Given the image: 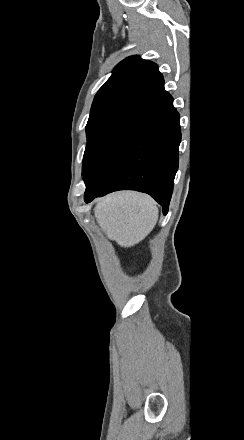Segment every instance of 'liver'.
Wrapping results in <instances>:
<instances>
[{
    "instance_id": "obj_1",
    "label": "liver",
    "mask_w": 244,
    "mask_h": 440,
    "mask_svg": "<svg viewBox=\"0 0 244 440\" xmlns=\"http://www.w3.org/2000/svg\"><path fill=\"white\" fill-rule=\"evenodd\" d=\"M159 210L152 198L139 192H115L100 198L94 216L108 240L121 248L142 242L158 220Z\"/></svg>"
}]
</instances>
